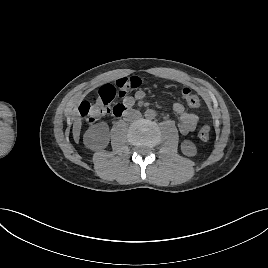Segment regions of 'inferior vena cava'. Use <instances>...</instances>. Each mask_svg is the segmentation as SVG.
<instances>
[{
	"label": "inferior vena cava",
	"mask_w": 268,
	"mask_h": 268,
	"mask_svg": "<svg viewBox=\"0 0 268 268\" xmlns=\"http://www.w3.org/2000/svg\"><path fill=\"white\" fill-rule=\"evenodd\" d=\"M141 117V113L139 111H136V110H131V111H128L126 114H125V120H134V119H137Z\"/></svg>",
	"instance_id": "1"
}]
</instances>
